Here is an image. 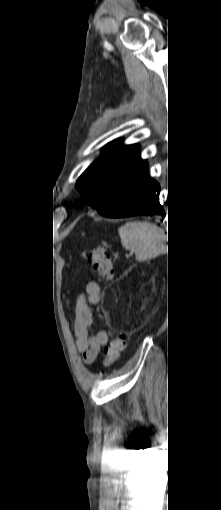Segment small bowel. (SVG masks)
Wrapping results in <instances>:
<instances>
[{
	"label": "small bowel",
	"mask_w": 221,
	"mask_h": 510,
	"mask_svg": "<svg viewBox=\"0 0 221 510\" xmlns=\"http://www.w3.org/2000/svg\"><path fill=\"white\" fill-rule=\"evenodd\" d=\"M101 289L97 282L91 281L86 286V294L82 295L75 307V334L76 343L82 359L91 364L97 357L101 347L106 346L109 336L105 330H98L90 335L93 323L91 306L100 300Z\"/></svg>",
	"instance_id": "obj_1"
}]
</instances>
